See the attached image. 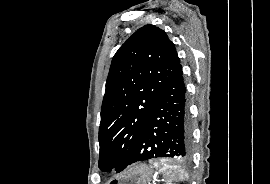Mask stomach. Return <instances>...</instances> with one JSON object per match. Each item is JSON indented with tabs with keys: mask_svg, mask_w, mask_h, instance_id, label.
<instances>
[{
	"mask_svg": "<svg viewBox=\"0 0 270 184\" xmlns=\"http://www.w3.org/2000/svg\"><path fill=\"white\" fill-rule=\"evenodd\" d=\"M152 177V167L140 164L112 178L107 184H149Z\"/></svg>",
	"mask_w": 270,
	"mask_h": 184,
	"instance_id": "obj_1",
	"label": "stomach"
}]
</instances>
